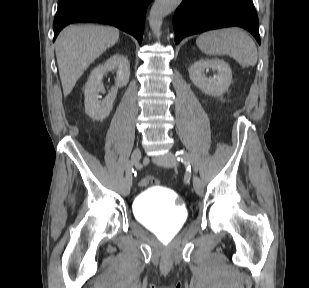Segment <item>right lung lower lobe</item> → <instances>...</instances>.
Listing matches in <instances>:
<instances>
[{"label":"right lung lower lobe","mask_w":309,"mask_h":288,"mask_svg":"<svg viewBox=\"0 0 309 288\" xmlns=\"http://www.w3.org/2000/svg\"><path fill=\"white\" fill-rule=\"evenodd\" d=\"M152 0H58L53 29L55 41L66 25L99 22L116 26L142 42L145 14Z\"/></svg>","instance_id":"right-lung-lower-lobe-1"}]
</instances>
